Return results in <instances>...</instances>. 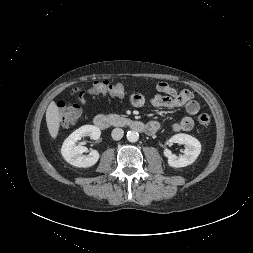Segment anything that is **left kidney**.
Returning <instances> with one entry per match:
<instances>
[{"instance_id":"5707ae66","label":"left kidney","mask_w":253,"mask_h":253,"mask_svg":"<svg viewBox=\"0 0 253 253\" xmlns=\"http://www.w3.org/2000/svg\"><path fill=\"white\" fill-rule=\"evenodd\" d=\"M168 143H178L185 146L183 155L178 157L171 153L170 150L165 149L164 155L168 158V164L171 167L179 168L192 164L201 152V143L191 135L180 133L173 135Z\"/></svg>"}]
</instances>
